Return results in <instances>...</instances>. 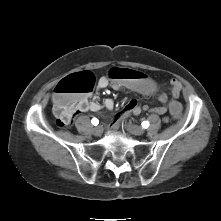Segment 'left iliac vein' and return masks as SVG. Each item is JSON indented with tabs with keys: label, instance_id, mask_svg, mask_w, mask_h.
<instances>
[{
	"label": "left iliac vein",
	"instance_id": "1",
	"mask_svg": "<svg viewBox=\"0 0 221 221\" xmlns=\"http://www.w3.org/2000/svg\"><path fill=\"white\" fill-rule=\"evenodd\" d=\"M127 131H129L130 133L134 134V135H143L145 130L137 125H134L132 123H127L125 125Z\"/></svg>",
	"mask_w": 221,
	"mask_h": 221
}]
</instances>
